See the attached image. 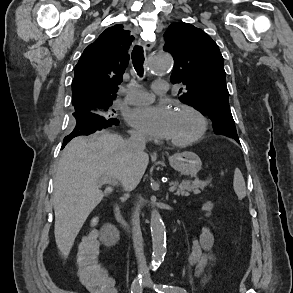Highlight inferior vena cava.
I'll return each instance as SVG.
<instances>
[{
	"label": "inferior vena cava",
	"mask_w": 293,
	"mask_h": 293,
	"mask_svg": "<svg viewBox=\"0 0 293 293\" xmlns=\"http://www.w3.org/2000/svg\"><path fill=\"white\" fill-rule=\"evenodd\" d=\"M146 145V136L141 133H132L130 139L127 141L128 149L137 154L143 153ZM138 182L134 179H129L124 183L126 191H132L136 188ZM132 232H133V246L135 250V255L138 262V267L140 270H146V261L143 252V242L142 236L139 228V221L137 211H134L132 216Z\"/></svg>",
	"instance_id": "602c4592"
}]
</instances>
